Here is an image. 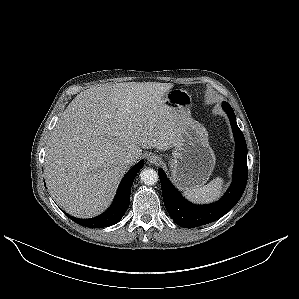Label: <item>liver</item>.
Wrapping results in <instances>:
<instances>
[{
    "mask_svg": "<svg viewBox=\"0 0 299 299\" xmlns=\"http://www.w3.org/2000/svg\"><path fill=\"white\" fill-rule=\"evenodd\" d=\"M172 87L124 82L89 88L72 100L45 154L46 183L60 207L79 218L101 214L142 148L165 151L179 144L184 119L164 99ZM130 152L135 162L126 165Z\"/></svg>",
    "mask_w": 299,
    "mask_h": 299,
    "instance_id": "liver-1",
    "label": "liver"
}]
</instances>
